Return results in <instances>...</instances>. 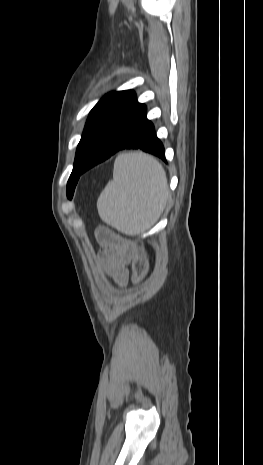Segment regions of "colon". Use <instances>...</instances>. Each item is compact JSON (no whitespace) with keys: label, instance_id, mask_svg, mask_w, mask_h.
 <instances>
[{"label":"colon","instance_id":"colon-1","mask_svg":"<svg viewBox=\"0 0 263 465\" xmlns=\"http://www.w3.org/2000/svg\"><path fill=\"white\" fill-rule=\"evenodd\" d=\"M148 271V261L143 251L138 250L132 261V279L139 282Z\"/></svg>","mask_w":263,"mask_h":465}]
</instances>
